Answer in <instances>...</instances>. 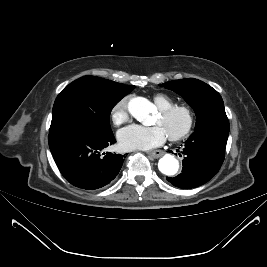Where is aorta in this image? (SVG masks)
<instances>
[{
  "instance_id": "aorta-1",
  "label": "aorta",
  "mask_w": 267,
  "mask_h": 267,
  "mask_svg": "<svg viewBox=\"0 0 267 267\" xmlns=\"http://www.w3.org/2000/svg\"><path fill=\"white\" fill-rule=\"evenodd\" d=\"M128 111L136 120L145 124L153 112V105L144 97H135L129 101ZM158 168L161 173L173 176L178 172V160L170 154H165L159 160Z\"/></svg>"
}]
</instances>
